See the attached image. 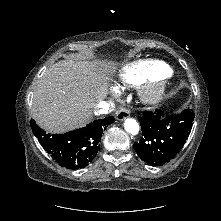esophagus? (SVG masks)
<instances>
[{"label": "esophagus", "mask_w": 221, "mask_h": 221, "mask_svg": "<svg viewBox=\"0 0 221 221\" xmlns=\"http://www.w3.org/2000/svg\"><path fill=\"white\" fill-rule=\"evenodd\" d=\"M129 116H130V111L125 107H121L116 113V118L117 120H120V121L125 120Z\"/></svg>", "instance_id": "34e87169"}]
</instances>
